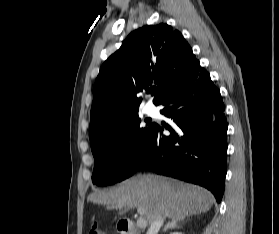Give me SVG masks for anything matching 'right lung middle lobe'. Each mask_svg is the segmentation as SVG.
I'll use <instances>...</instances> for the list:
<instances>
[{
	"label": "right lung middle lobe",
	"instance_id": "obj_1",
	"mask_svg": "<svg viewBox=\"0 0 279 234\" xmlns=\"http://www.w3.org/2000/svg\"><path fill=\"white\" fill-rule=\"evenodd\" d=\"M141 124L138 113L109 135L91 144L95 159L92 182L111 185L133 175L148 148L154 124Z\"/></svg>",
	"mask_w": 279,
	"mask_h": 234
}]
</instances>
